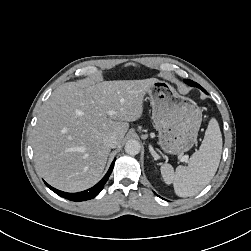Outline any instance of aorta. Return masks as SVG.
Returning <instances> with one entry per match:
<instances>
[{
	"label": "aorta",
	"mask_w": 251,
	"mask_h": 251,
	"mask_svg": "<svg viewBox=\"0 0 251 251\" xmlns=\"http://www.w3.org/2000/svg\"><path fill=\"white\" fill-rule=\"evenodd\" d=\"M140 148V143L137 140H128L125 144V152L129 155H137Z\"/></svg>",
	"instance_id": "762f6f07"
}]
</instances>
